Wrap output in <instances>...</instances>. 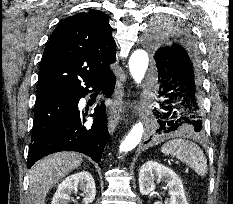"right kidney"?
<instances>
[{
  "label": "right kidney",
  "instance_id": "obj_1",
  "mask_svg": "<svg viewBox=\"0 0 233 204\" xmlns=\"http://www.w3.org/2000/svg\"><path fill=\"white\" fill-rule=\"evenodd\" d=\"M81 191L84 204L94 201L96 195L95 181L87 171L77 172L66 177L57 187L51 204H68L72 192Z\"/></svg>",
  "mask_w": 233,
  "mask_h": 204
}]
</instances>
